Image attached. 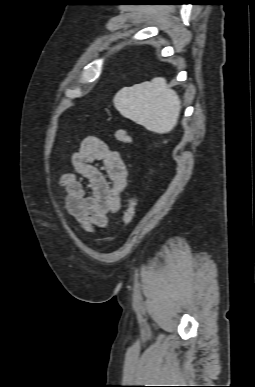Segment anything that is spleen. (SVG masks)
<instances>
[{"mask_svg": "<svg viewBox=\"0 0 255 387\" xmlns=\"http://www.w3.org/2000/svg\"><path fill=\"white\" fill-rule=\"evenodd\" d=\"M113 103L120 114L156 133H168L177 124L181 101L162 77L119 90Z\"/></svg>", "mask_w": 255, "mask_h": 387, "instance_id": "1", "label": "spleen"}]
</instances>
